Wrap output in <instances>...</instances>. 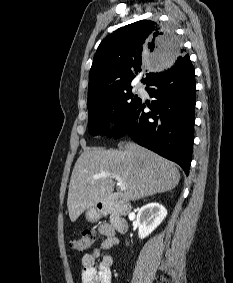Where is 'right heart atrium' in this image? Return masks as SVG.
<instances>
[{"label": "right heart atrium", "instance_id": "1", "mask_svg": "<svg viewBox=\"0 0 233 283\" xmlns=\"http://www.w3.org/2000/svg\"><path fill=\"white\" fill-rule=\"evenodd\" d=\"M108 122L111 126H115L118 122L116 111L112 110L108 114Z\"/></svg>", "mask_w": 233, "mask_h": 283}]
</instances>
